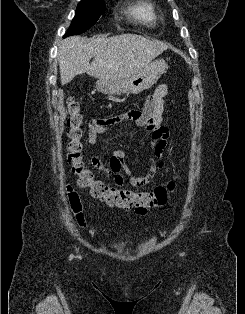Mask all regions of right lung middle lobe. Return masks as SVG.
I'll list each match as a JSON object with an SVG mask.
<instances>
[{"instance_id": "obj_1", "label": "right lung middle lobe", "mask_w": 245, "mask_h": 314, "mask_svg": "<svg viewBox=\"0 0 245 314\" xmlns=\"http://www.w3.org/2000/svg\"><path fill=\"white\" fill-rule=\"evenodd\" d=\"M105 4L101 0H81L75 17L65 36L78 35L89 29L104 13Z\"/></svg>"}]
</instances>
